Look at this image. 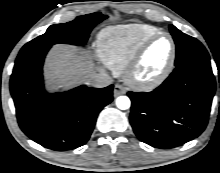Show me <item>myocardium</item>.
<instances>
[{
  "mask_svg": "<svg viewBox=\"0 0 220 173\" xmlns=\"http://www.w3.org/2000/svg\"><path fill=\"white\" fill-rule=\"evenodd\" d=\"M161 37H167L171 44V52L167 66L154 78L147 80L137 78L136 73L140 67L141 60L146 50L153 42H155ZM176 56H177V46L173 36L168 32H164V31L158 32L148 37L139 45L132 59L130 60V62L123 71L124 81L135 90H139V91L153 90L158 86H160L169 77V75L174 69Z\"/></svg>",
  "mask_w": 220,
  "mask_h": 173,
  "instance_id": "myocardium-1",
  "label": "myocardium"
}]
</instances>
